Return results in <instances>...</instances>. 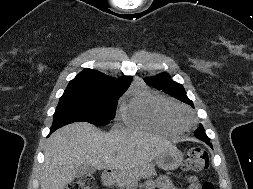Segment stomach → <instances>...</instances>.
<instances>
[{"label":"stomach","instance_id":"stomach-1","mask_svg":"<svg viewBox=\"0 0 253 189\" xmlns=\"http://www.w3.org/2000/svg\"><path fill=\"white\" fill-rule=\"evenodd\" d=\"M183 159L182 152L176 147L165 150L155 159V163L159 168L163 170H175L181 164ZM116 178L115 175H112L110 179H107L106 182H110Z\"/></svg>","mask_w":253,"mask_h":189}]
</instances>
